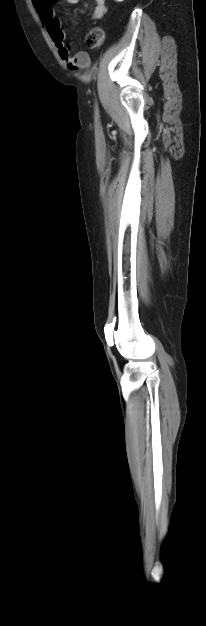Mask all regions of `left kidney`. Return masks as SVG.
Instances as JSON below:
<instances>
[{
  "mask_svg": "<svg viewBox=\"0 0 206 626\" xmlns=\"http://www.w3.org/2000/svg\"><path fill=\"white\" fill-rule=\"evenodd\" d=\"M116 2H123L124 0H115Z\"/></svg>",
  "mask_w": 206,
  "mask_h": 626,
  "instance_id": "1",
  "label": "left kidney"
}]
</instances>
